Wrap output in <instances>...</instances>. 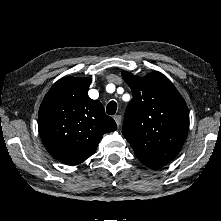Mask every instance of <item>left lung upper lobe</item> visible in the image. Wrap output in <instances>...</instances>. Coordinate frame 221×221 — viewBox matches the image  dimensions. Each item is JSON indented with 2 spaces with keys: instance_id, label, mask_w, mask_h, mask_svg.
<instances>
[{
  "instance_id": "1",
  "label": "left lung upper lobe",
  "mask_w": 221,
  "mask_h": 221,
  "mask_svg": "<svg viewBox=\"0 0 221 221\" xmlns=\"http://www.w3.org/2000/svg\"><path fill=\"white\" fill-rule=\"evenodd\" d=\"M122 77L133 94L125 112L124 137L135 155L169 163L188 133L189 113L184 99L159 72L138 77L124 71Z\"/></svg>"
}]
</instances>
